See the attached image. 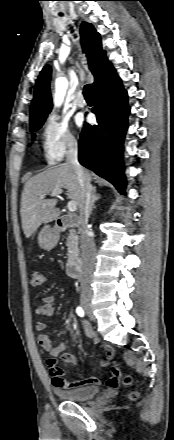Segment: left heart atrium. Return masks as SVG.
I'll use <instances>...</instances> for the list:
<instances>
[{"label": "left heart atrium", "instance_id": "obj_1", "mask_svg": "<svg viewBox=\"0 0 174 440\" xmlns=\"http://www.w3.org/2000/svg\"><path fill=\"white\" fill-rule=\"evenodd\" d=\"M77 124L79 125V126H81L82 124H83V119L80 117V118H78L77 119Z\"/></svg>", "mask_w": 174, "mask_h": 440}]
</instances>
